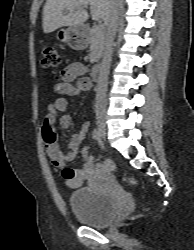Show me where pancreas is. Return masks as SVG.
Segmentation results:
<instances>
[{
	"label": "pancreas",
	"instance_id": "cf45deb5",
	"mask_svg": "<svg viewBox=\"0 0 194 250\" xmlns=\"http://www.w3.org/2000/svg\"><path fill=\"white\" fill-rule=\"evenodd\" d=\"M88 39L90 43V62H98L104 47L105 28L97 29L92 27L89 30Z\"/></svg>",
	"mask_w": 194,
	"mask_h": 250
}]
</instances>
